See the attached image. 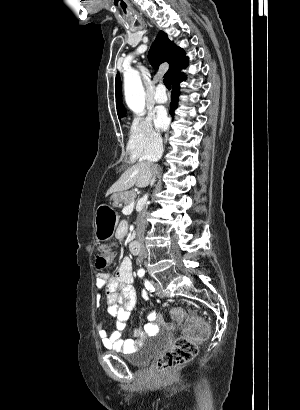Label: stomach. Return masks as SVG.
Returning a JSON list of instances; mask_svg holds the SVG:
<instances>
[{
    "instance_id": "1",
    "label": "stomach",
    "mask_w": 300,
    "mask_h": 410,
    "mask_svg": "<svg viewBox=\"0 0 300 410\" xmlns=\"http://www.w3.org/2000/svg\"><path fill=\"white\" fill-rule=\"evenodd\" d=\"M119 195L120 193H115L111 197V200L114 201V206ZM118 221V214L112 206L102 205L98 207L95 217L96 239L98 241L109 240L114 235Z\"/></svg>"
}]
</instances>
